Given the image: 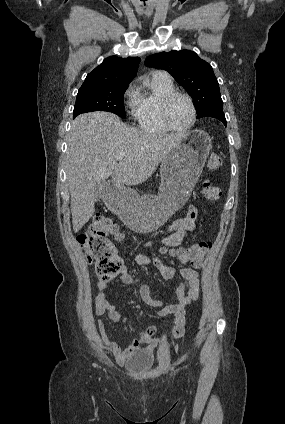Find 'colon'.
Masks as SVG:
<instances>
[{
    "label": "colon",
    "mask_w": 285,
    "mask_h": 424,
    "mask_svg": "<svg viewBox=\"0 0 285 424\" xmlns=\"http://www.w3.org/2000/svg\"><path fill=\"white\" fill-rule=\"evenodd\" d=\"M222 164L221 156L216 153H211L207 158L206 166L209 171H217ZM202 194L211 202L219 201L223 195L221 189L209 181L203 183ZM109 237L121 240L123 236L117 224L104 215L95 216L90 227L78 236V242L88 262L94 263L97 274L104 280L115 277L123 268V261ZM211 247V242H200L189 247L178 248L172 254L183 263L189 262L194 266H201ZM182 322L183 317L180 316L177 321L178 327Z\"/></svg>",
    "instance_id": "1"
}]
</instances>
